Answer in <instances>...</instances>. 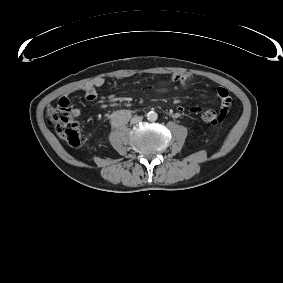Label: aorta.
Wrapping results in <instances>:
<instances>
[{
  "mask_svg": "<svg viewBox=\"0 0 283 283\" xmlns=\"http://www.w3.org/2000/svg\"><path fill=\"white\" fill-rule=\"evenodd\" d=\"M147 119L151 122H154L158 119V114L155 111H150L147 114Z\"/></svg>",
  "mask_w": 283,
  "mask_h": 283,
  "instance_id": "obj_1",
  "label": "aorta"
}]
</instances>
